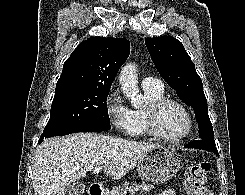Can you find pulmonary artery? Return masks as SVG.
<instances>
[{
    "mask_svg": "<svg viewBox=\"0 0 245 195\" xmlns=\"http://www.w3.org/2000/svg\"><path fill=\"white\" fill-rule=\"evenodd\" d=\"M141 87L143 90L149 89H163L164 85L160 79L153 78V77H145L141 81Z\"/></svg>",
    "mask_w": 245,
    "mask_h": 195,
    "instance_id": "obj_1",
    "label": "pulmonary artery"
}]
</instances>
